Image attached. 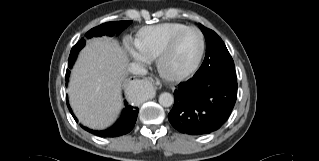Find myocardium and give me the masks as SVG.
<instances>
[{
	"mask_svg": "<svg viewBox=\"0 0 319 161\" xmlns=\"http://www.w3.org/2000/svg\"><path fill=\"white\" fill-rule=\"evenodd\" d=\"M188 31H196L199 34L200 48H199L198 55H197L194 63L189 68H187L183 71H178V72L171 71L166 67V60H167L169 54L171 53L175 43L179 39V37ZM204 51H205V41H204V35L201 32V30L198 29L197 27H193V26L186 27V28L174 33L167 41L166 45L164 46L163 50L161 51V53L158 56V59L156 62L157 71H158L159 75L161 77H163L164 79H167L170 81L183 80V79L191 76L198 69V67L202 61Z\"/></svg>",
	"mask_w": 319,
	"mask_h": 161,
	"instance_id": "myocardium-1",
	"label": "myocardium"
}]
</instances>
